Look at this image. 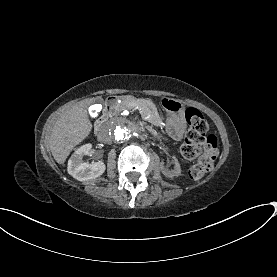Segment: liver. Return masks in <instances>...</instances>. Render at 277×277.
Returning <instances> with one entry per match:
<instances>
[{"mask_svg":"<svg viewBox=\"0 0 277 277\" xmlns=\"http://www.w3.org/2000/svg\"><path fill=\"white\" fill-rule=\"evenodd\" d=\"M98 98H88L65 111L55 122L49 138V149L55 161L63 165L72 150L92 132L88 107Z\"/></svg>","mask_w":277,"mask_h":277,"instance_id":"liver-1","label":"liver"}]
</instances>
